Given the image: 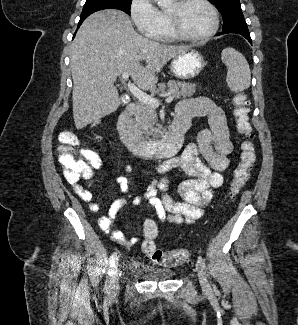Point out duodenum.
I'll return each mask as SVG.
<instances>
[{"label":"duodenum","instance_id":"1","mask_svg":"<svg viewBox=\"0 0 298 325\" xmlns=\"http://www.w3.org/2000/svg\"><path fill=\"white\" fill-rule=\"evenodd\" d=\"M137 110L136 103H130L121 113L117 130L123 144L135 155L149 158L171 157L175 155L183 142V136L191 124V119L201 114L200 109L192 103L178 104L175 117L168 133L160 140L146 141L140 139L131 129L130 121Z\"/></svg>","mask_w":298,"mask_h":325}]
</instances>
